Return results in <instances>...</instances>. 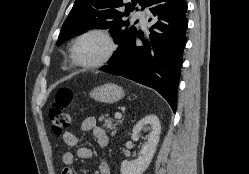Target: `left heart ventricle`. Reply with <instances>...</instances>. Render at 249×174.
Masks as SVG:
<instances>
[{"label": "left heart ventricle", "instance_id": "obj_1", "mask_svg": "<svg viewBox=\"0 0 249 174\" xmlns=\"http://www.w3.org/2000/svg\"><path fill=\"white\" fill-rule=\"evenodd\" d=\"M107 48V43L101 36L91 35L80 41L77 55L82 62L93 63L105 55Z\"/></svg>", "mask_w": 249, "mask_h": 174}]
</instances>
